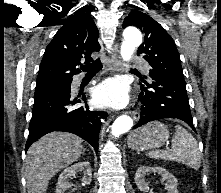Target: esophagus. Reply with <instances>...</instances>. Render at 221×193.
I'll list each match as a JSON object with an SVG mask.
<instances>
[{
	"instance_id": "esophagus-1",
	"label": "esophagus",
	"mask_w": 221,
	"mask_h": 193,
	"mask_svg": "<svg viewBox=\"0 0 221 193\" xmlns=\"http://www.w3.org/2000/svg\"><path fill=\"white\" fill-rule=\"evenodd\" d=\"M109 67L111 71L122 70V62L118 54V44L115 45L114 52L112 53V56L110 59ZM127 113L130 114L135 121H138L140 118V114L138 111L132 110V111H128Z\"/></svg>"
}]
</instances>
